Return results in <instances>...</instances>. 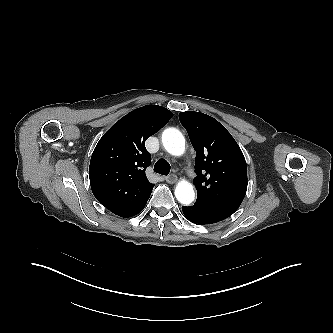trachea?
<instances>
[{"mask_svg":"<svg viewBox=\"0 0 333 333\" xmlns=\"http://www.w3.org/2000/svg\"><path fill=\"white\" fill-rule=\"evenodd\" d=\"M154 171L167 176L170 172V164L165 159L158 160L154 165Z\"/></svg>","mask_w":333,"mask_h":333,"instance_id":"trachea-1","label":"trachea"}]
</instances>
